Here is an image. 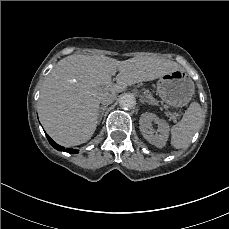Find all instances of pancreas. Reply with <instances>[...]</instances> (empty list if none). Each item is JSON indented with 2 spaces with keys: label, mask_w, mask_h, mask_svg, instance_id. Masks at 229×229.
Returning a JSON list of instances; mask_svg holds the SVG:
<instances>
[{
  "label": "pancreas",
  "mask_w": 229,
  "mask_h": 229,
  "mask_svg": "<svg viewBox=\"0 0 229 229\" xmlns=\"http://www.w3.org/2000/svg\"><path fill=\"white\" fill-rule=\"evenodd\" d=\"M145 97L147 98V100H148V102H149L150 104H152V105L157 104V102L154 100V98H153L150 94L145 95Z\"/></svg>",
  "instance_id": "pancreas-1"
}]
</instances>
